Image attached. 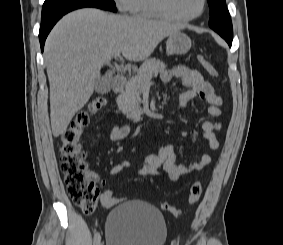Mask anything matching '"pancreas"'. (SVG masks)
Instances as JSON below:
<instances>
[{"mask_svg": "<svg viewBox=\"0 0 283 245\" xmlns=\"http://www.w3.org/2000/svg\"><path fill=\"white\" fill-rule=\"evenodd\" d=\"M166 65L159 59L151 58L144 61L137 71V75L133 76L126 85V89L119 96L117 103L119 109L128 119L135 120L143 113L141 104V90L147 80L153 76L163 72Z\"/></svg>", "mask_w": 283, "mask_h": 245, "instance_id": "cf45deb5", "label": "pancreas"}]
</instances>
